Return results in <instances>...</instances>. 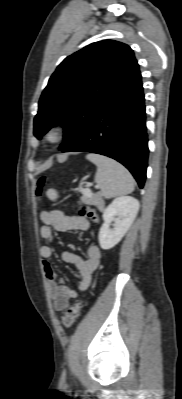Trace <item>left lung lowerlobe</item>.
<instances>
[{"label":"left lung lower lobe","mask_w":182,"mask_h":399,"mask_svg":"<svg viewBox=\"0 0 182 399\" xmlns=\"http://www.w3.org/2000/svg\"><path fill=\"white\" fill-rule=\"evenodd\" d=\"M144 94L140 72L116 92L82 134L62 152H92L122 163L144 186L148 159Z\"/></svg>","instance_id":"left-lung-lower-lobe-1"}]
</instances>
